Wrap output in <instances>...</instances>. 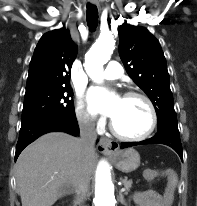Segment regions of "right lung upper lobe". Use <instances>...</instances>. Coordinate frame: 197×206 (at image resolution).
Returning a JSON list of instances; mask_svg holds the SVG:
<instances>
[{
    "mask_svg": "<svg viewBox=\"0 0 197 206\" xmlns=\"http://www.w3.org/2000/svg\"><path fill=\"white\" fill-rule=\"evenodd\" d=\"M76 53L77 47L65 28L44 34L29 65L26 89L68 85Z\"/></svg>",
    "mask_w": 197,
    "mask_h": 206,
    "instance_id": "obj_1",
    "label": "right lung upper lobe"
}]
</instances>
